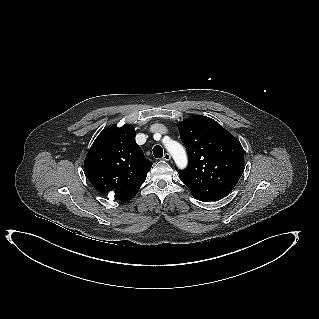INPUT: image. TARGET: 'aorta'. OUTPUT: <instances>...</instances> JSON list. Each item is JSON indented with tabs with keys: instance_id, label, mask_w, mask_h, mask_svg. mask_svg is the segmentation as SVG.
Segmentation results:
<instances>
[{
	"instance_id": "762f6f07",
	"label": "aorta",
	"mask_w": 319,
	"mask_h": 319,
	"mask_svg": "<svg viewBox=\"0 0 319 319\" xmlns=\"http://www.w3.org/2000/svg\"><path fill=\"white\" fill-rule=\"evenodd\" d=\"M165 148L172 155L178 169H185L188 165V157L184 147L174 140L165 142Z\"/></svg>"
}]
</instances>
